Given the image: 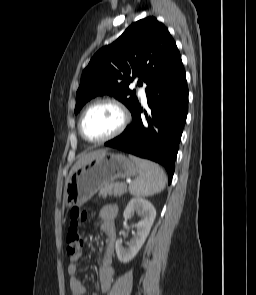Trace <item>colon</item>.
I'll use <instances>...</instances> for the list:
<instances>
[{"instance_id":"obj_1","label":"colon","mask_w":256,"mask_h":295,"mask_svg":"<svg viewBox=\"0 0 256 295\" xmlns=\"http://www.w3.org/2000/svg\"><path fill=\"white\" fill-rule=\"evenodd\" d=\"M88 218V212L73 207L69 213V228L66 236V255L74 257L82 250V228Z\"/></svg>"}]
</instances>
